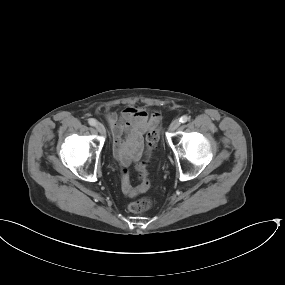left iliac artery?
Listing matches in <instances>:
<instances>
[{
	"instance_id": "44dca946",
	"label": "left iliac artery",
	"mask_w": 285,
	"mask_h": 285,
	"mask_svg": "<svg viewBox=\"0 0 285 285\" xmlns=\"http://www.w3.org/2000/svg\"><path fill=\"white\" fill-rule=\"evenodd\" d=\"M189 120V117L187 115H183L181 118H180V122L181 123H186L187 121Z\"/></svg>"
}]
</instances>
